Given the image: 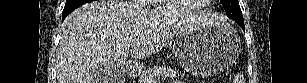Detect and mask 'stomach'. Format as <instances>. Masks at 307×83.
Wrapping results in <instances>:
<instances>
[{"label": "stomach", "mask_w": 307, "mask_h": 83, "mask_svg": "<svg viewBox=\"0 0 307 83\" xmlns=\"http://www.w3.org/2000/svg\"><path fill=\"white\" fill-rule=\"evenodd\" d=\"M173 50L178 62L188 72L213 76L236 61L241 42L232 27L213 24L179 34Z\"/></svg>", "instance_id": "obj_1"}]
</instances>
